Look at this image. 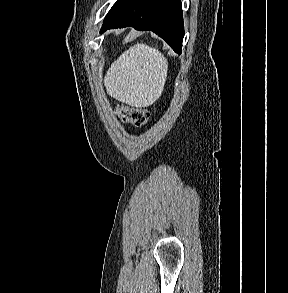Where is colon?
<instances>
[{"label":"colon","instance_id":"obj_1","mask_svg":"<svg viewBox=\"0 0 288 293\" xmlns=\"http://www.w3.org/2000/svg\"><path fill=\"white\" fill-rule=\"evenodd\" d=\"M117 114L123 121L131 123L136 127L145 125L151 115L146 109L129 106H119L117 108Z\"/></svg>","mask_w":288,"mask_h":293}]
</instances>
